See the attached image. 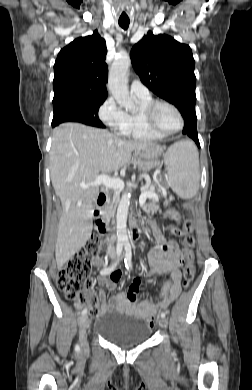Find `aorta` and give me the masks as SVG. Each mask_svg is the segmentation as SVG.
Segmentation results:
<instances>
[{"mask_svg": "<svg viewBox=\"0 0 252 390\" xmlns=\"http://www.w3.org/2000/svg\"><path fill=\"white\" fill-rule=\"evenodd\" d=\"M131 66V59L127 54L120 55L112 63L109 70L108 89L117 103L126 110H134L135 104L128 90V70ZM131 195L125 192L118 205L116 215L117 241L120 244L128 243L127 215Z\"/></svg>", "mask_w": 252, "mask_h": 390, "instance_id": "1", "label": "aorta"}]
</instances>
